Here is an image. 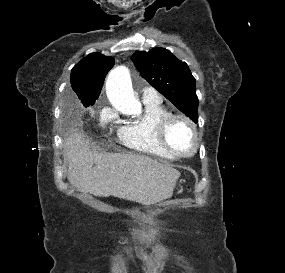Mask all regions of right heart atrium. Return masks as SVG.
Listing matches in <instances>:
<instances>
[{
  "label": "right heart atrium",
  "mask_w": 285,
  "mask_h": 273,
  "mask_svg": "<svg viewBox=\"0 0 285 273\" xmlns=\"http://www.w3.org/2000/svg\"><path fill=\"white\" fill-rule=\"evenodd\" d=\"M116 118H117L116 112L109 107H104L100 111V124L103 126L113 124Z\"/></svg>",
  "instance_id": "1"
}]
</instances>
